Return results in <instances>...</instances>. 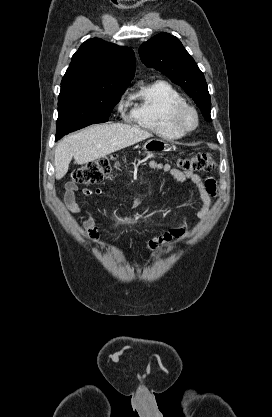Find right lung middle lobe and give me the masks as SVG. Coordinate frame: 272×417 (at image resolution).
I'll return each mask as SVG.
<instances>
[{
    "instance_id": "dd1d6c3e",
    "label": "right lung middle lobe",
    "mask_w": 272,
    "mask_h": 417,
    "mask_svg": "<svg viewBox=\"0 0 272 417\" xmlns=\"http://www.w3.org/2000/svg\"><path fill=\"white\" fill-rule=\"evenodd\" d=\"M125 90L115 89L95 95L58 99L55 140L85 126L108 121Z\"/></svg>"
}]
</instances>
